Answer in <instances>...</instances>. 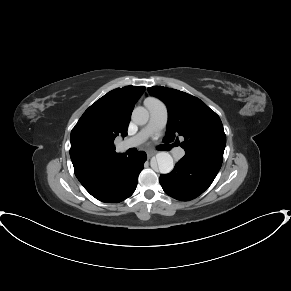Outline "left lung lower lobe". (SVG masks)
<instances>
[{"label": "left lung lower lobe", "mask_w": 291, "mask_h": 291, "mask_svg": "<svg viewBox=\"0 0 291 291\" xmlns=\"http://www.w3.org/2000/svg\"><path fill=\"white\" fill-rule=\"evenodd\" d=\"M221 164L184 156L174 170L162 174L160 184L166 194L187 201L202 194L213 182Z\"/></svg>", "instance_id": "1"}]
</instances>
